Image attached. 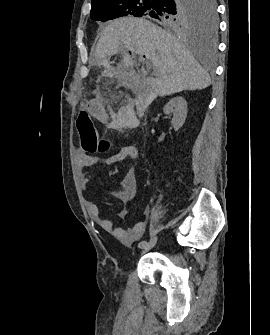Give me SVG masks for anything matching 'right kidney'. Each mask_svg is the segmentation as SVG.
<instances>
[{
	"instance_id": "obj_1",
	"label": "right kidney",
	"mask_w": 270,
	"mask_h": 335,
	"mask_svg": "<svg viewBox=\"0 0 270 335\" xmlns=\"http://www.w3.org/2000/svg\"><path fill=\"white\" fill-rule=\"evenodd\" d=\"M163 112L164 114H173L171 124L174 130L178 132L187 118V102L182 96H176L166 104Z\"/></svg>"
}]
</instances>
